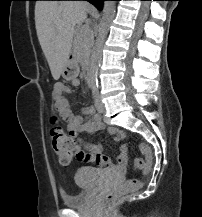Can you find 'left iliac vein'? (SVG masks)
<instances>
[{"label": "left iliac vein", "instance_id": "1", "mask_svg": "<svg viewBox=\"0 0 202 217\" xmlns=\"http://www.w3.org/2000/svg\"><path fill=\"white\" fill-rule=\"evenodd\" d=\"M95 107L99 113L105 112V105L103 104L99 93L95 96Z\"/></svg>", "mask_w": 202, "mask_h": 217}]
</instances>
